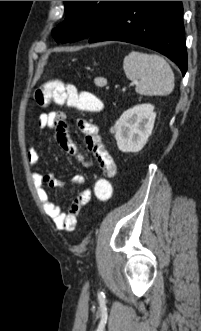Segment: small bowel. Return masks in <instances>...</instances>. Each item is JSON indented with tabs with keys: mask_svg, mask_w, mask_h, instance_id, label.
I'll list each match as a JSON object with an SVG mask.
<instances>
[{
	"mask_svg": "<svg viewBox=\"0 0 201 331\" xmlns=\"http://www.w3.org/2000/svg\"><path fill=\"white\" fill-rule=\"evenodd\" d=\"M38 126L40 129L54 128L57 141L61 148L68 154L75 156L83 168L90 169L92 167L91 158L83 153L71 138L66 116L63 112L52 111L40 114L38 118ZM77 126L83 133L86 148L96 159L102 176L108 179L113 178L116 174V165L100 137L98 127L94 123L85 119H80ZM27 157L29 164L34 168L32 171V180L46 214L52 219L58 229L73 231L77 226L79 212L90 200V189L84 187L73 200L69 209L67 211H62L61 207L51 200L47 188L61 187L64 186V183L53 174L42 175L35 169L39 162V154L34 146L30 145L28 147ZM84 182L85 178L83 176H76L72 180V183L74 184L81 185Z\"/></svg>",
	"mask_w": 201,
	"mask_h": 331,
	"instance_id": "c3829d8e",
	"label": "small bowel"
}]
</instances>
